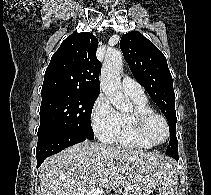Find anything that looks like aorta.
<instances>
[{"label": "aorta", "mask_w": 211, "mask_h": 195, "mask_svg": "<svg viewBox=\"0 0 211 195\" xmlns=\"http://www.w3.org/2000/svg\"><path fill=\"white\" fill-rule=\"evenodd\" d=\"M123 67L122 52L117 49L109 50L101 69L100 84L103 93L110 100L112 105L120 111H127L131 103L125 99L122 92L120 72Z\"/></svg>", "instance_id": "aorta-1"}]
</instances>
